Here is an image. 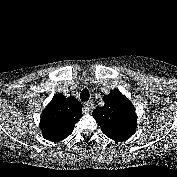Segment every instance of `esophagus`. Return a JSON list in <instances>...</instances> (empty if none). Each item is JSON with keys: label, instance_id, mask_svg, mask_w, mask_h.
Returning a JSON list of instances; mask_svg holds the SVG:
<instances>
[{"label": "esophagus", "instance_id": "esophagus-1", "mask_svg": "<svg viewBox=\"0 0 177 177\" xmlns=\"http://www.w3.org/2000/svg\"><path fill=\"white\" fill-rule=\"evenodd\" d=\"M93 106H94L93 102L91 101L85 102L83 112L87 114L90 113V111L93 109Z\"/></svg>", "mask_w": 177, "mask_h": 177}]
</instances>
